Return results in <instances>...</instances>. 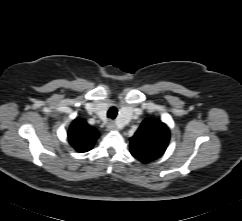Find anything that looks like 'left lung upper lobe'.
I'll list each match as a JSON object with an SVG mask.
<instances>
[{"label":"left lung upper lobe","instance_id":"5c2ea615","mask_svg":"<svg viewBox=\"0 0 242 221\" xmlns=\"http://www.w3.org/2000/svg\"><path fill=\"white\" fill-rule=\"evenodd\" d=\"M169 138L170 132L164 123L147 118L130 138V152L143 163L151 162L163 155Z\"/></svg>","mask_w":242,"mask_h":221}]
</instances>
